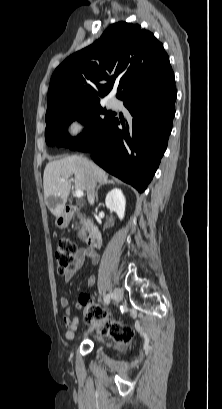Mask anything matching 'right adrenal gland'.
Listing matches in <instances>:
<instances>
[{
  "label": "right adrenal gland",
  "mask_w": 222,
  "mask_h": 409,
  "mask_svg": "<svg viewBox=\"0 0 222 409\" xmlns=\"http://www.w3.org/2000/svg\"><path fill=\"white\" fill-rule=\"evenodd\" d=\"M105 184H114V182L111 181V180H108L107 177H105V178H103V180L99 181V185H98L97 190H96V193H95L96 202H98V191H99L100 187H101L102 185H105Z\"/></svg>",
  "instance_id": "right-adrenal-gland-1"
}]
</instances>
